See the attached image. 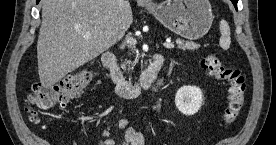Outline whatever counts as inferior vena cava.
<instances>
[{"mask_svg": "<svg viewBox=\"0 0 276 145\" xmlns=\"http://www.w3.org/2000/svg\"><path fill=\"white\" fill-rule=\"evenodd\" d=\"M119 6H123L128 3V0H118Z\"/></svg>", "mask_w": 276, "mask_h": 145, "instance_id": "1", "label": "inferior vena cava"}]
</instances>
